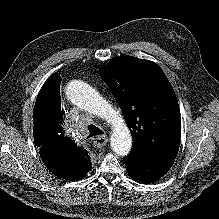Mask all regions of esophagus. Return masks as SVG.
Instances as JSON below:
<instances>
[{"instance_id": "obj_1", "label": "esophagus", "mask_w": 219, "mask_h": 219, "mask_svg": "<svg viewBox=\"0 0 219 219\" xmlns=\"http://www.w3.org/2000/svg\"><path fill=\"white\" fill-rule=\"evenodd\" d=\"M107 142H108V136L107 135L97 136L94 139L93 146L95 148H101V147L105 146L107 144Z\"/></svg>"}]
</instances>
